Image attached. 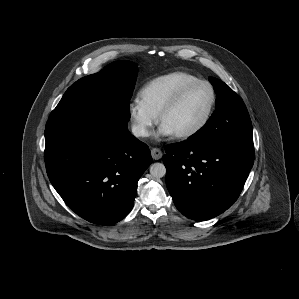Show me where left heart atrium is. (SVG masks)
<instances>
[{
	"instance_id": "39dd6f15",
	"label": "left heart atrium",
	"mask_w": 299,
	"mask_h": 299,
	"mask_svg": "<svg viewBox=\"0 0 299 299\" xmlns=\"http://www.w3.org/2000/svg\"><path fill=\"white\" fill-rule=\"evenodd\" d=\"M173 135H174V133L162 124L160 125V127L157 131V137L158 138H167V137H171Z\"/></svg>"
}]
</instances>
